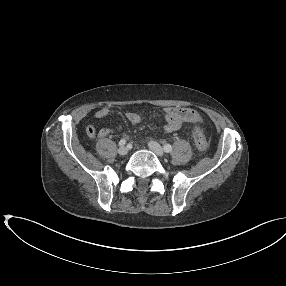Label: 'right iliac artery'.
<instances>
[{
  "mask_svg": "<svg viewBox=\"0 0 286 286\" xmlns=\"http://www.w3.org/2000/svg\"><path fill=\"white\" fill-rule=\"evenodd\" d=\"M126 144V140L125 139H121L120 141H119V145L120 146H124Z\"/></svg>",
  "mask_w": 286,
  "mask_h": 286,
  "instance_id": "82829eb1",
  "label": "right iliac artery"
}]
</instances>
